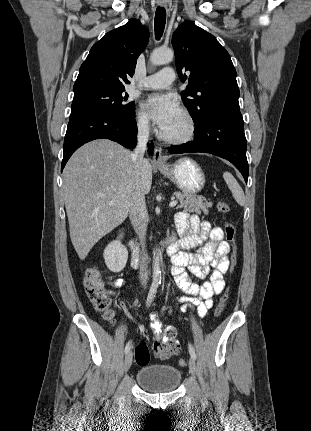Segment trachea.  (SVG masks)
Wrapping results in <instances>:
<instances>
[{
    "mask_svg": "<svg viewBox=\"0 0 311 431\" xmlns=\"http://www.w3.org/2000/svg\"><path fill=\"white\" fill-rule=\"evenodd\" d=\"M166 23V10L161 7H157L155 12L154 28L155 37L159 40L162 37Z\"/></svg>",
    "mask_w": 311,
    "mask_h": 431,
    "instance_id": "1",
    "label": "trachea"
}]
</instances>
